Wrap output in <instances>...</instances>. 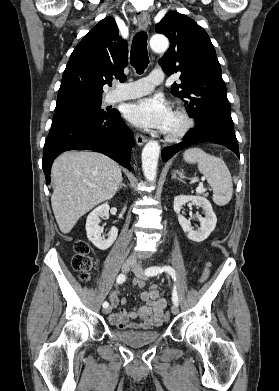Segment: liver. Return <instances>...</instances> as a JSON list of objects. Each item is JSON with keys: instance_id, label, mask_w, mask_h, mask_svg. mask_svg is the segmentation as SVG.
Masks as SVG:
<instances>
[{"instance_id": "liver-1", "label": "liver", "mask_w": 279, "mask_h": 391, "mask_svg": "<svg viewBox=\"0 0 279 391\" xmlns=\"http://www.w3.org/2000/svg\"><path fill=\"white\" fill-rule=\"evenodd\" d=\"M51 205L62 233H69L81 216L111 199L122 180L119 165L92 151H69L52 165Z\"/></svg>"}]
</instances>
